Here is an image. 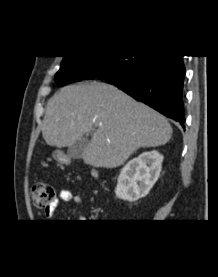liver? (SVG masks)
<instances>
[{"mask_svg":"<svg viewBox=\"0 0 218 277\" xmlns=\"http://www.w3.org/2000/svg\"><path fill=\"white\" fill-rule=\"evenodd\" d=\"M92 138L82 153L94 167L116 168L139 148L165 145L168 120L116 87L91 82L63 87L48 101L42 125L46 143L70 147L84 134Z\"/></svg>","mask_w":218,"mask_h":277,"instance_id":"liver-1","label":"liver"}]
</instances>
